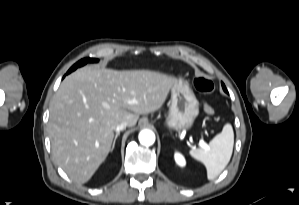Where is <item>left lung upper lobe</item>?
<instances>
[{"mask_svg":"<svg viewBox=\"0 0 299 205\" xmlns=\"http://www.w3.org/2000/svg\"><path fill=\"white\" fill-rule=\"evenodd\" d=\"M222 87H223V90L225 91L226 90V87L225 85L222 83Z\"/></svg>","mask_w":299,"mask_h":205,"instance_id":"5c2ea615","label":"left lung upper lobe"}]
</instances>
